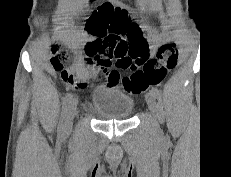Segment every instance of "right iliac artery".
Here are the masks:
<instances>
[{
	"mask_svg": "<svg viewBox=\"0 0 231 177\" xmlns=\"http://www.w3.org/2000/svg\"><path fill=\"white\" fill-rule=\"evenodd\" d=\"M71 99H72V94L68 93L63 100L62 112H61V117H60V121L58 125L59 134H63L64 128H65V115H66L67 108L71 102Z\"/></svg>",
	"mask_w": 231,
	"mask_h": 177,
	"instance_id": "obj_1",
	"label": "right iliac artery"
}]
</instances>
